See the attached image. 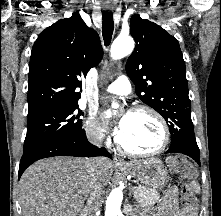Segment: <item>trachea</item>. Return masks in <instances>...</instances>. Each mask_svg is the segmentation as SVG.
<instances>
[{
    "mask_svg": "<svg viewBox=\"0 0 221 216\" xmlns=\"http://www.w3.org/2000/svg\"><path fill=\"white\" fill-rule=\"evenodd\" d=\"M114 30V21L112 13H103V27L102 35L104 39L105 46H109Z\"/></svg>",
    "mask_w": 221,
    "mask_h": 216,
    "instance_id": "trachea-1",
    "label": "trachea"
}]
</instances>
